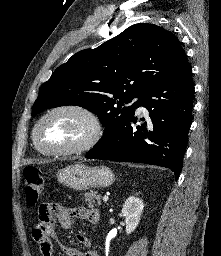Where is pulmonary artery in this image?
<instances>
[{"label":"pulmonary artery","mask_w":221,"mask_h":256,"mask_svg":"<svg viewBox=\"0 0 221 256\" xmlns=\"http://www.w3.org/2000/svg\"><path fill=\"white\" fill-rule=\"evenodd\" d=\"M140 110H145L144 106H141V107H140Z\"/></svg>","instance_id":"obj_1"}]
</instances>
